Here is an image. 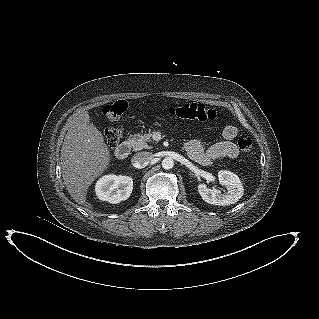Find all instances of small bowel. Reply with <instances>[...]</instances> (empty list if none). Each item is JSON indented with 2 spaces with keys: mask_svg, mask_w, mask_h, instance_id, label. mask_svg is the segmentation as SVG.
Returning <instances> with one entry per match:
<instances>
[{
  "mask_svg": "<svg viewBox=\"0 0 319 319\" xmlns=\"http://www.w3.org/2000/svg\"><path fill=\"white\" fill-rule=\"evenodd\" d=\"M238 132L236 126L228 125L223 130L222 141L205 148L200 141L192 140L185 144L186 152L190 159L201 165H209L215 160L222 158H237L239 148L234 139L237 137Z\"/></svg>",
  "mask_w": 319,
  "mask_h": 319,
  "instance_id": "obj_1",
  "label": "small bowel"
}]
</instances>
